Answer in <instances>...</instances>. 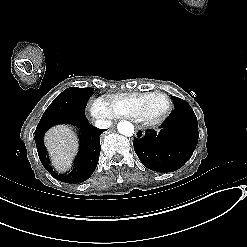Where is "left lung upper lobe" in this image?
Listing matches in <instances>:
<instances>
[{"label":"left lung upper lobe","instance_id":"5c2ea615","mask_svg":"<svg viewBox=\"0 0 247 247\" xmlns=\"http://www.w3.org/2000/svg\"><path fill=\"white\" fill-rule=\"evenodd\" d=\"M172 99L174 101L175 109L181 108V107H190V105L186 101H184V100H182L180 98L172 96Z\"/></svg>","mask_w":247,"mask_h":247}]
</instances>
